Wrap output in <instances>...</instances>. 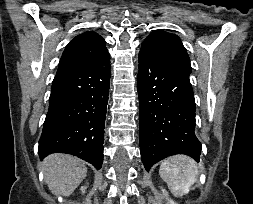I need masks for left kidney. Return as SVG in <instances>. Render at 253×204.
<instances>
[{
  "instance_id": "5707ae66",
  "label": "left kidney",
  "mask_w": 253,
  "mask_h": 204,
  "mask_svg": "<svg viewBox=\"0 0 253 204\" xmlns=\"http://www.w3.org/2000/svg\"><path fill=\"white\" fill-rule=\"evenodd\" d=\"M162 192H163V194L165 195V196H167V192L165 191V189H162ZM169 201V203L168 204H176L174 201H172V200H168Z\"/></svg>"
}]
</instances>
